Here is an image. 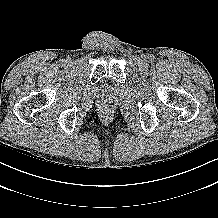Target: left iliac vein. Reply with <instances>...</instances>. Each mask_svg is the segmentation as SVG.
Returning a JSON list of instances; mask_svg holds the SVG:
<instances>
[{"label": "left iliac vein", "mask_w": 218, "mask_h": 218, "mask_svg": "<svg viewBox=\"0 0 218 218\" xmlns=\"http://www.w3.org/2000/svg\"><path fill=\"white\" fill-rule=\"evenodd\" d=\"M144 60H145V61L147 60V57H146V56L144 57Z\"/></svg>", "instance_id": "left-iliac-vein-1"}]
</instances>
